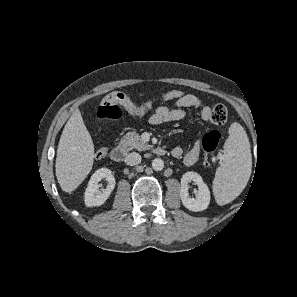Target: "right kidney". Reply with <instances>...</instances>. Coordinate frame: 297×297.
I'll return each mask as SVG.
<instances>
[{"mask_svg": "<svg viewBox=\"0 0 297 297\" xmlns=\"http://www.w3.org/2000/svg\"><path fill=\"white\" fill-rule=\"evenodd\" d=\"M105 178L108 181L107 188L104 192H98V182ZM115 187V178L108 168H101L95 171L91 176L84 195V202L87 207H95L103 205L109 198L111 192Z\"/></svg>", "mask_w": 297, "mask_h": 297, "instance_id": "obj_1", "label": "right kidney"}]
</instances>
